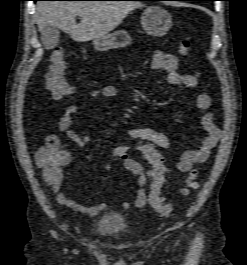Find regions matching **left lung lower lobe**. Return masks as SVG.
Masks as SVG:
<instances>
[{
    "label": "left lung lower lobe",
    "mask_w": 247,
    "mask_h": 265,
    "mask_svg": "<svg viewBox=\"0 0 247 265\" xmlns=\"http://www.w3.org/2000/svg\"><path fill=\"white\" fill-rule=\"evenodd\" d=\"M142 1H163V0H142ZM168 1H202V0H168Z\"/></svg>",
    "instance_id": "left-lung-lower-lobe-1"
}]
</instances>
